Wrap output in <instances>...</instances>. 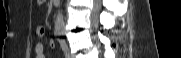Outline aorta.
Instances as JSON below:
<instances>
[{
	"instance_id": "obj_1",
	"label": "aorta",
	"mask_w": 181,
	"mask_h": 58,
	"mask_svg": "<svg viewBox=\"0 0 181 58\" xmlns=\"http://www.w3.org/2000/svg\"><path fill=\"white\" fill-rule=\"evenodd\" d=\"M54 30L57 33H63L65 30V22L62 10H58V13L56 15Z\"/></svg>"
}]
</instances>
